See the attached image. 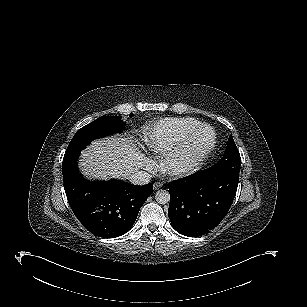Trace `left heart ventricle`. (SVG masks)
<instances>
[{
    "instance_id": "left-heart-ventricle-1",
    "label": "left heart ventricle",
    "mask_w": 307,
    "mask_h": 307,
    "mask_svg": "<svg viewBox=\"0 0 307 307\" xmlns=\"http://www.w3.org/2000/svg\"><path fill=\"white\" fill-rule=\"evenodd\" d=\"M211 138V133L209 130H203L197 142L191 146L184 147L179 151L173 160V164L180 165L182 163L191 162L194 158L196 150L203 144L208 143Z\"/></svg>"
}]
</instances>
